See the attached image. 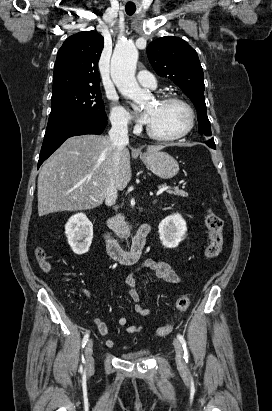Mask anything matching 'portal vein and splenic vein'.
Here are the masks:
<instances>
[{
    "instance_id": "obj_1",
    "label": "portal vein and splenic vein",
    "mask_w": 272,
    "mask_h": 411,
    "mask_svg": "<svg viewBox=\"0 0 272 411\" xmlns=\"http://www.w3.org/2000/svg\"><path fill=\"white\" fill-rule=\"evenodd\" d=\"M94 185H96V183H94ZM168 189H170L169 186H163L162 188H160V189L158 190V192L156 193V195H160V194H162L164 191H166V190H168Z\"/></svg>"
}]
</instances>
